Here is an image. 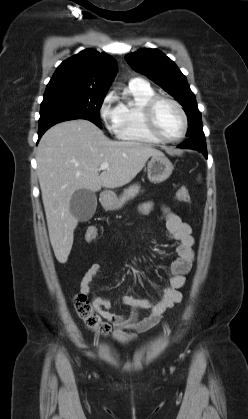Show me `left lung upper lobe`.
Returning a JSON list of instances; mask_svg holds the SVG:
<instances>
[{
  "instance_id": "left-lung-upper-lobe-1",
  "label": "left lung upper lobe",
  "mask_w": 248,
  "mask_h": 419,
  "mask_svg": "<svg viewBox=\"0 0 248 419\" xmlns=\"http://www.w3.org/2000/svg\"><path fill=\"white\" fill-rule=\"evenodd\" d=\"M125 59L133 70L153 80L183 106L188 118L187 136H204L195 95L171 59L157 49H140Z\"/></svg>"
}]
</instances>
